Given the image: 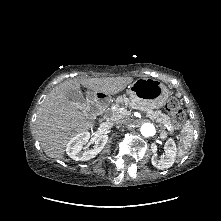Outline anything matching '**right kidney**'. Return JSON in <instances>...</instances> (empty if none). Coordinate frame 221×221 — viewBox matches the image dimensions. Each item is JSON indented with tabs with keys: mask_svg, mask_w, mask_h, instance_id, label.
<instances>
[{
	"mask_svg": "<svg viewBox=\"0 0 221 221\" xmlns=\"http://www.w3.org/2000/svg\"><path fill=\"white\" fill-rule=\"evenodd\" d=\"M91 135L89 132H82L71 138L66 147L68 156L76 161H86L94 158L105 147L108 136H99L94 145V149L83 150L85 144H89Z\"/></svg>",
	"mask_w": 221,
	"mask_h": 221,
	"instance_id": "obj_1",
	"label": "right kidney"
}]
</instances>
